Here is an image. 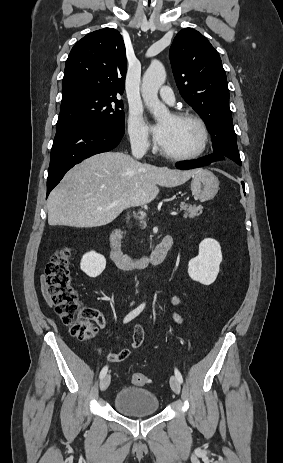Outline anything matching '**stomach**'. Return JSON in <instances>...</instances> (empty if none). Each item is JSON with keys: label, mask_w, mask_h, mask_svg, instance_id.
<instances>
[{"label": "stomach", "mask_w": 283, "mask_h": 463, "mask_svg": "<svg viewBox=\"0 0 283 463\" xmlns=\"http://www.w3.org/2000/svg\"><path fill=\"white\" fill-rule=\"evenodd\" d=\"M219 190L218 178L207 169H199L192 177L191 191L200 201H208L215 197Z\"/></svg>", "instance_id": "obj_1"}]
</instances>
